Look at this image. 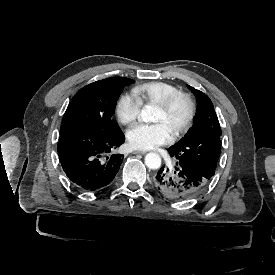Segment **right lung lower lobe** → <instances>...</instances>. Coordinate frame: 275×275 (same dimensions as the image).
<instances>
[{"label":"right lung lower lobe","mask_w":275,"mask_h":275,"mask_svg":"<svg viewBox=\"0 0 275 275\" xmlns=\"http://www.w3.org/2000/svg\"><path fill=\"white\" fill-rule=\"evenodd\" d=\"M125 141L120 131L103 136L82 129L61 132L57 151L62 168L80 190L95 191L116 176L123 155H109Z\"/></svg>","instance_id":"98d812e1"}]
</instances>
